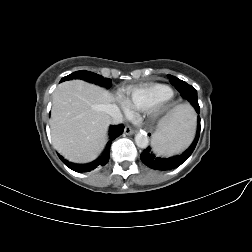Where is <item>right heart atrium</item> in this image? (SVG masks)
Here are the masks:
<instances>
[{
  "mask_svg": "<svg viewBox=\"0 0 252 252\" xmlns=\"http://www.w3.org/2000/svg\"><path fill=\"white\" fill-rule=\"evenodd\" d=\"M120 107L122 109V111L126 114V115H129L130 114V108L128 106V104L126 103L125 100H121L120 101Z\"/></svg>",
  "mask_w": 252,
  "mask_h": 252,
  "instance_id": "1",
  "label": "right heart atrium"
}]
</instances>
